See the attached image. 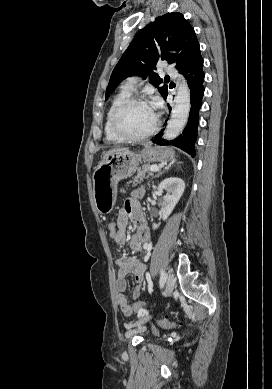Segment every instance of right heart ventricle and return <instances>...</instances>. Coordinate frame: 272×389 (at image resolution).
<instances>
[{
	"instance_id": "e07e8e85",
	"label": "right heart ventricle",
	"mask_w": 272,
	"mask_h": 389,
	"mask_svg": "<svg viewBox=\"0 0 272 389\" xmlns=\"http://www.w3.org/2000/svg\"><path fill=\"white\" fill-rule=\"evenodd\" d=\"M131 95V91L122 88L112 99L110 106L107 110L105 122H104V134L107 142L109 143H118L122 142L123 140L119 138L113 131L112 128V118L115 110L118 108V106L125 101L127 98H129Z\"/></svg>"
}]
</instances>
